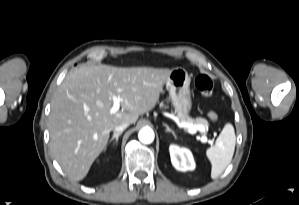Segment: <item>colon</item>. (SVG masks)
Masks as SVG:
<instances>
[{"label": "colon", "mask_w": 299, "mask_h": 205, "mask_svg": "<svg viewBox=\"0 0 299 205\" xmlns=\"http://www.w3.org/2000/svg\"><path fill=\"white\" fill-rule=\"evenodd\" d=\"M195 87L203 96H210L213 92V81L205 74L198 75L194 81ZM209 118L215 122L217 121V114L213 111L209 112Z\"/></svg>", "instance_id": "1"}]
</instances>
